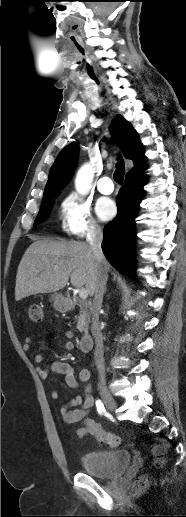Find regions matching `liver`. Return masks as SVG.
Masks as SVG:
<instances>
[{
    "label": "liver",
    "mask_w": 186,
    "mask_h": 517,
    "mask_svg": "<svg viewBox=\"0 0 186 517\" xmlns=\"http://www.w3.org/2000/svg\"><path fill=\"white\" fill-rule=\"evenodd\" d=\"M96 261L90 245L75 241L39 240L24 253L17 270L15 300L63 289L69 281L94 294ZM105 268L109 265L106 261Z\"/></svg>",
    "instance_id": "1"
}]
</instances>
